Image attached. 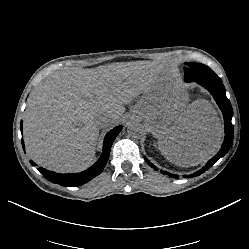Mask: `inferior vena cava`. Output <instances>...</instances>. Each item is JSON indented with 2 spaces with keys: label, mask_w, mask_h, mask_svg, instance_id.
<instances>
[{
  "label": "inferior vena cava",
  "mask_w": 249,
  "mask_h": 249,
  "mask_svg": "<svg viewBox=\"0 0 249 249\" xmlns=\"http://www.w3.org/2000/svg\"><path fill=\"white\" fill-rule=\"evenodd\" d=\"M111 117L109 115L103 114L96 119L97 126L99 129H104L108 127L111 123ZM131 126V125H130ZM133 127H143L142 124H132Z\"/></svg>",
  "instance_id": "1"
}]
</instances>
